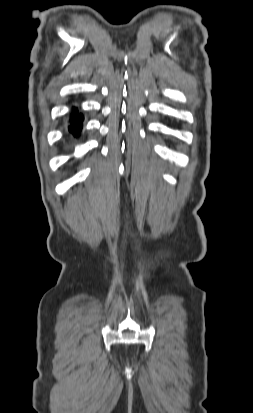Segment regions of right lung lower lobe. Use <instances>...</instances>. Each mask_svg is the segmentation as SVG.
<instances>
[{"label":"right lung lower lobe","instance_id":"right-lung-lower-lobe-1","mask_svg":"<svg viewBox=\"0 0 253 413\" xmlns=\"http://www.w3.org/2000/svg\"><path fill=\"white\" fill-rule=\"evenodd\" d=\"M71 125L68 127L72 136L77 137L82 129L83 116L78 114L77 110L73 108V114L70 118Z\"/></svg>","mask_w":253,"mask_h":413}]
</instances>
